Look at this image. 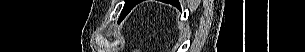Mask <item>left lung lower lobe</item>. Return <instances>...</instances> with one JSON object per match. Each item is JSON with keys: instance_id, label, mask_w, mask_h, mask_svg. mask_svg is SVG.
I'll list each match as a JSON object with an SVG mask.
<instances>
[{"instance_id": "1", "label": "left lung lower lobe", "mask_w": 305, "mask_h": 52, "mask_svg": "<svg viewBox=\"0 0 305 52\" xmlns=\"http://www.w3.org/2000/svg\"><path fill=\"white\" fill-rule=\"evenodd\" d=\"M141 1H137V4L140 3Z\"/></svg>"}]
</instances>
